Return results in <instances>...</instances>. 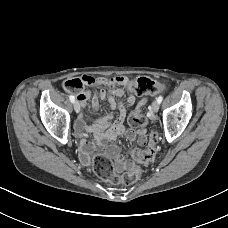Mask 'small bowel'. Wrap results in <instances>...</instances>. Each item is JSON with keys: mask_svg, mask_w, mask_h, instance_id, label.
I'll list each match as a JSON object with an SVG mask.
<instances>
[{"mask_svg": "<svg viewBox=\"0 0 228 228\" xmlns=\"http://www.w3.org/2000/svg\"><path fill=\"white\" fill-rule=\"evenodd\" d=\"M122 80V83H113L110 79L105 78H92V77H83V81L86 85L95 86V85H105L108 87V90L102 89L99 92L95 93L92 97V106L94 109H98L100 100H107L109 107L114 110L119 109V115L115 121L110 122L113 119V115L104 116L94 123L87 125L84 119L83 113L79 115L75 122V131L76 135L81 138L80 146L83 149L84 153H88L93 147L83 138V131L87 130L92 132L95 136V147L105 148L108 155L114 158L115 164L118 169H123L126 166L124 161V156L121 154L119 148L115 145H107V142L113 141L119 136L125 135L129 141L138 140L141 145L146 143V129H126L125 118L127 113V105H135L134 111L140 112L143 110V107L146 103L145 99L136 101L135 91L128 84L129 79L126 77H119ZM121 86L126 88L127 91V104L122 101V97L125 94V90ZM90 97L89 91H83L80 94H77V99L80 102L82 108L85 107L88 98Z\"/></svg>", "mask_w": 228, "mask_h": 228, "instance_id": "obj_1", "label": "small bowel"}]
</instances>
